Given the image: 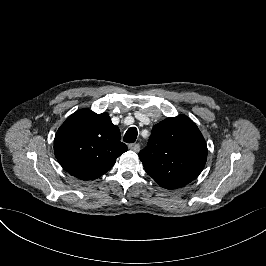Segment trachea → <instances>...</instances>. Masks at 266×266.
<instances>
[{
    "mask_svg": "<svg viewBox=\"0 0 266 266\" xmlns=\"http://www.w3.org/2000/svg\"><path fill=\"white\" fill-rule=\"evenodd\" d=\"M137 129L135 127H131L127 130L126 134L124 135V142L126 143H134L137 138Z\"/></svg>",
    "mask_w": 266,
    "mask_h": 266,
    "instance_id": "1",
    "label": "trachea"
}]
</instances>
